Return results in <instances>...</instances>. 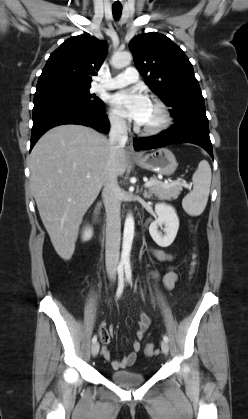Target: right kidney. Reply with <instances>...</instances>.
<instances>
[{
	"label": "right kidney",
	"mask_w": 248,
	"mask_h": 419,
	"mask_svg": "<svg viewBox=\"0 0 248 419\" xmlns=\"http://www.w3.org/2000/svg\"><path fill=\"white\" fill-rule=\"evenodd\" d=\"M93 235V230L91 227H86L84 228L83 234H82V239L83 241H88L92 238Z\"/></svg>",
	"instance_id": "1"
}]
</instances>
